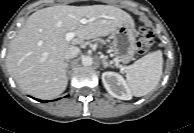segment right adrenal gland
<instances>
[{
  "instance_id": "2a0ac1e0",
  "label": "right adrenal gland",
  "mask_w": 194,
  "mask_h": 133,
  "mask_svg": "<svg viewBox=\"0 0 194 133\" xmlns=\"http://www.w3.org/2000/svg\"><path fill=\"white\" fill-rule=\"evenodd\" d=\"M66 69H67V74L69 75V61H66Z\"/></svg>"
}]
</instances>
